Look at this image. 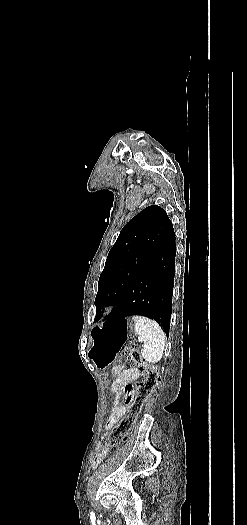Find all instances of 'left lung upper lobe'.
I'll use <instances>...</instances> for the list:
<instances>
[{"label":"left lung upper lobe","instance_id":"obj_1","mask_svg":"<svg viewBox=\"0 0 247 525\" xmlns=\"http://www.w3.org/2000/svg\"><path fill=\"white\" fill-rule=\"evenodd\" d=\"M171 224L166 212L152 205L133 217L121 230L111 248L98 282L94 321L101 315L104 304L116 305L146 267L160 237Z\"/></svg>","mask_w":247,"mask_h":525}]
</instances>
